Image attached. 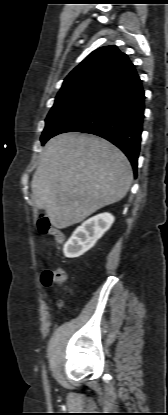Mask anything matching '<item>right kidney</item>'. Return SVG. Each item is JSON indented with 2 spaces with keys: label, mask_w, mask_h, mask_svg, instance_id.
<instances>
[{
  "label": "right kidney",
  "mask_w": 168,
  "mask_h": 415,
  "mask_svg": "<svg viewBox=\"0 0 168 415\" xmlns=\"http://www.w3.org/2000/svg\"><path fill=\"white\" fill-rule=\"evenodd\" d=\"M114 220V216L106 212L83 222L65 243L63 247L65 257H79L91 249L97 240L111 227Z\"/></svg>",
  "instance_id": "ca27d5eb"
}]
</instances>
